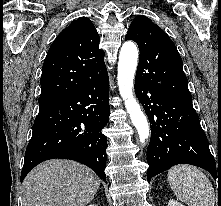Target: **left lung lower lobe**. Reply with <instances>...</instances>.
<instances>
[{
	"instance_id": "0a47b994",
	"label": "left lung lower lobe",
	"mask_w": 221,
	"mask_h": 206,
	"mask_svg": "<svg viewBox=\"0 0 221 206\" xmlns=\"http://www.w3.org/2000/svg\"><path fill=\"white\" fill-rule=\"evenodd\" d=\"M135 94L148 116L151 139L147 148V180L170 167L186 163L209 171L216 179V164L192 102L169 97L135 82ZM221 171L218 169V178Z\"/></svg>"
}]
</instances>
